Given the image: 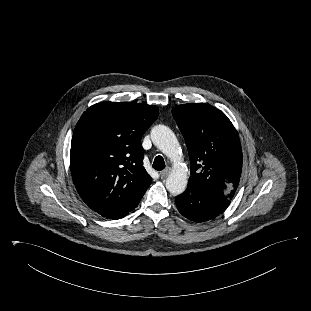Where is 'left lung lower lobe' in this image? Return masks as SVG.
<instances>
[{
  "instance_id": "1",
  "label": "left lung lower lobe",
  "mask_w": 311,
  "mask_h": 311,
  "mask_svg": "<svg viewBox=\"0 0 311 311\" xmlns=\"http://www.w3.org/2000/svg\"><path fill=\"white\" fill-rule=\"evenodd\" d=\"M230 204V199L208 192L193 183H189L183 194L176 197L179 212L194 222H203L215 218Z\"/></svg>"
}]
</instances>
